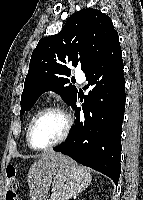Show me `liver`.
Returning <instances> with one entry per match:
<instances>
[{
	"instance_id": "1",
	"label": "liver",
	"mask_w": 143,
	"mask_h": 200,
	"mask_svg": "<svg viewBox=\"0 0 143 200\" xmlns=\"http://www.w3.org/2000/svg\"><path fill=\"white\" fill-rule=\"evenodd\" d=\"M73 163V159L61 153H43L28 171L30 200H44L57 171Z\"/></svg>"
}]
</instances>
